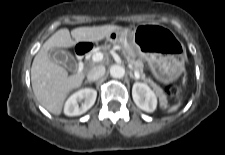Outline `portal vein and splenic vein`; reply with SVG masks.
<instances>
[{"label": "portal vein and splenic vein", "instance_id": "18ae733b", "mask_svg": "<svg viewBox=\"0 0 225 155\" xmlns=\"http://www.w3.org/2000/svg\"><path fill=\"white\" fill-rule=\"evenodd\" d=\"M103 57H104L103 53L97 52V53L92 55V60L94 62H100V61L103 60ZM134 75H135L136 78H140V74H139L138 71H134Z\"/></svg>", "mask_w": 225, "mask_h": 155}]
</instances>
